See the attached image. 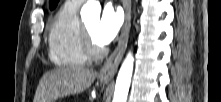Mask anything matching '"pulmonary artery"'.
Instances as JSON below:
<instances>
[{"instance_id":"obj_1","label":"pulmonary artery","mask_w":221,"mask_h":102,"mask_svg":"<svg viewBox=\"0 0 221 102\" xmlns=\"http://www.w3.org/2000/svg\"><path fill=\"white\" fill-rule=\"evenodd\" d=\"M73 1L78 2V3H82V2H84L85 0H73Z\"/></svg>"}]
</instances>
